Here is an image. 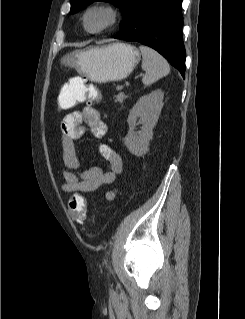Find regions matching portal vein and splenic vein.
Listing matches in <instances>:
<instances>
[{
    "instance_id": "portal-vein-and-splenic-vein-1",
    "label": "portal vein and splenic vein",
    "mask_w": 245,
    "mask_h": 319,
    "mask_svg": "<svg viewBox=\"0 0 245 319\" xmlns=\"http://www.w3.org/2000/svg\"><path fill=\"white\" fill-rule=\"evenodd\" d=\"M122 89H123L122 85L117 86V90H122Z\"/></svg>"
}]
</instances>
